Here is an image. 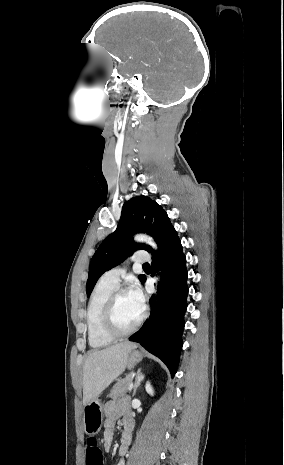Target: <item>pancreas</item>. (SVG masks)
Wrapping results in <instances>:
<instances>
[{
  "label": "pancreas",
  "mask_w": 284,
  "mask_h": 465,
  "mask_svg": "<svg viewBox=\"0 0 284 465\" xmlns=\"http://www.w3.org/2000/svg\"><path fill=\"white\" fill-rule=\"evenodd\" d=\"M131 377L132 375H127L126 379H122L118 385H115L108 397H111V399H120V397H126L127 393H130L129 387L131 383Z\"/></svg>",
  "instance_id": "cf45deb5"
}]
</instances>
